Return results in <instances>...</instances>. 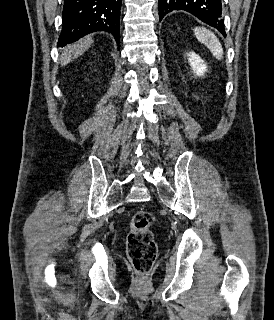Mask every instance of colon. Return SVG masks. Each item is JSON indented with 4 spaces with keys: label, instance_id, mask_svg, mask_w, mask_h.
I'll use <instances>...</instances> for the list:
<instances>
[{
    "label": "colon",
    "instance_id": "obj_1",
    "mask_svg": "<svg viewBox=\"0 0 274 320\" xmlns=\"http://www.w3.org/2000/svg\"><path fill=\"white\" fill-rule=\"evenodd\" d=\"M153 215L148 210L138 211L130 221L127 233L128 257L135 271L148 273L156 258L157 245L151 230Z\"/></svg>",
    "mask_w": 274,
    "mask_h": 320
}]
</instances>
